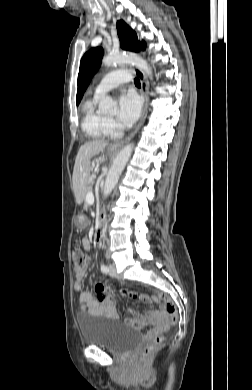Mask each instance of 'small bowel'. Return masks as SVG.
Wrapping results in <instances>:
<instances>
[{"instance_id":"small-bowel-1","label":"small bowel","mask_w":252,"mask_h":390,"mask_svg":"<svg viewBox=\"0 0 252 390\" xmlns=\"http://www.w3.org/2000/svg\"><path fill=\"white\" fill-rule=\"evenodd\" d=\"M81 244L84 249H90V241L87 238H83ZM86 274V270L76 273L73 282L74 290L80 292V302L84 304L88 308V311L94 316L119 321L120 319L117 314L115 301L112 296L106 292L104 284L96 286V297L88 291H82ZM130 312L131 317H127L123 320V323L129 327L143 330L146 327L151 326L149 329L150 335L163 332L167 328L166 316L160 309H148L144 313H140L136 309H130Z\"/></svg>"}]
</instances>
